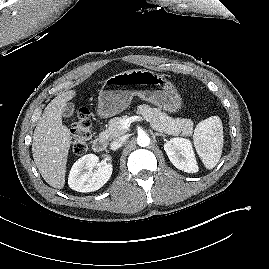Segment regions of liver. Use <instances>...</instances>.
<instances>
[{
	"label": "liver",
	"mask_w": 269,
	"mask_h": 269,
	"mask_svg": "<svg viewBox=\"0 0 269 269\" xmlns=\"http://www.w3.org/2000/svg\"><path fill=\"white\" fill-rule=\"evenodd\" d=\"M75 95V90H69L55 97L44 109L33 134L32 153L36 166L44 180L57 189L65 185L72 142L69 129L62 124V112Z\"/></svg>",
	"instance_id": "obj_1"
}]
</instances>
